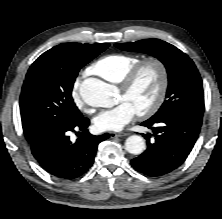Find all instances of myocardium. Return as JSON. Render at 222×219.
<instances>
[{"label": "myocardium", "instance_id": "1", "mask_svg": "<svg viewBox=\"0 0 222 219\" xmlns=\"http://www.w3.org/2000/svg\"><path fill=\"white\" fill-rule=\"evenodd\" d=\"M147 66H152L156 69L159 83H158L157 93L153 101L146 108L137 111V114L140 117H150L153 114H155L162 106L165 100L169 83V72L166 64L161 59L156 57H149L143 59L138 63H136L125 74V76L122 78V80L119 83L121 91L127 93L133 87L135 81L137 80L142 70Z\"/></svg>", "mask_w": 222, "mask_h": 219}]
</instances>
